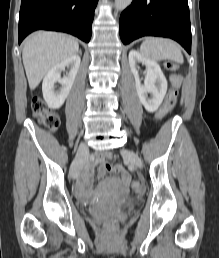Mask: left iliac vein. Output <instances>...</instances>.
<instances>
[{
  "instance_id": "left-iliac-vein-1",
  "label": "left iliac vein",
  "mask_w": 219,
  "mask_h": 258,
  "mask_svg": "<svg viewBox=\"0 0 219 258\" xmlns=\"http://www.w3.org/2000/svg\"><path fill=\"white\" fill-rule=\"evenodd\" d=\"M122 155L138 168L141 169L143 167L141 159L135 152L128 149H123Z\"/></svg>"
}]
</instances>
